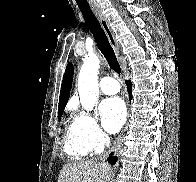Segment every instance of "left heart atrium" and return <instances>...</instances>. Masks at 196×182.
<instances>
[{
  "label": "left heart atrium",
  "instance_id": "left-heart-atrium-1",
  "mask_svg": "<svg viewBox=\"0 0 196 182\" xmlns=\"http://www.w3.org/2000/svg\"><path fill=\"white\" fill-rule=\"evenodd\" d=\"M99 112L104 128L110 132H117L126 119V108L119 97L105 98L99 105Z\"/></svg>",
  "mask_w": 196,
  "mask_h": 182
}]
</instances>
